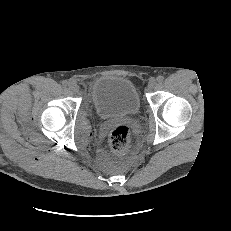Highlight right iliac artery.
Masks as SVG:
<instances>
[{"mask_svg": "<svg viewBox=\"0 0 231 231\" xmlns=\"http://www.w3.org/2000/svg\"><path fill=\"white\" fill-rule=\"evenodd\" d=\"M62 85H63L64 87H66V86H68V85H69V82H68V81H66V80H63V81H62Z\"/></svg>", "mask_w": 231, "mask_h": 231, "instance_id": "obj_1", "label": "right iliac artery"}]
</instances>
